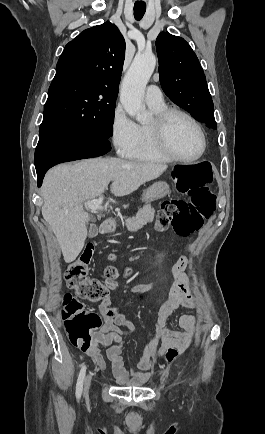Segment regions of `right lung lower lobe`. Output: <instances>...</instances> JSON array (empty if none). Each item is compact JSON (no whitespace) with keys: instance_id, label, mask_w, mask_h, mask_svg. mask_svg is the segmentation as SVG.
<instances>
[{"instance_id":"obj_1","label":"right lung lower lobe","mask_w":265,"mask_h":434,"mask_svg":"<svg viewBox=\"0 0 265 434\" xmlns=\"http://www.w3.org/2000/svg\"><path fill=\"white\" fill-rule=\"evenodd\" d=\"M111 150L108 139L71 134L54 126H44L39 131L35 151L38 186L45 173L56 164L102 156Z\"/></svg>"}]
</instances>
